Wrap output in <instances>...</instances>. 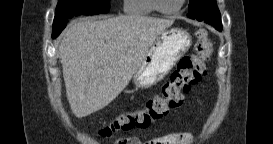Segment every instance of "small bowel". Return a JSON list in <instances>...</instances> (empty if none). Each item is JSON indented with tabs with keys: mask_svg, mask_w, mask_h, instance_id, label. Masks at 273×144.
Here are the masks:
<instances>
[{
	"mask_svg": "<svg viewBox=\"0 0 273 144\" xmlns=\"http://www.w3.org/2000/svg\"><path fill=\"white\" fill-rule=\"evenodd\" d=\"M192 141V135L188 132L170 133L164 136L155 137L146 141L140 139L138 135L120 138L115 144H188Z\"/></svg>",
	"mask_w": 273,
	"mask_h": 144,
	"instance_id": "small-bowel-1",
	"label": "small bowel"
}]
</instances>
